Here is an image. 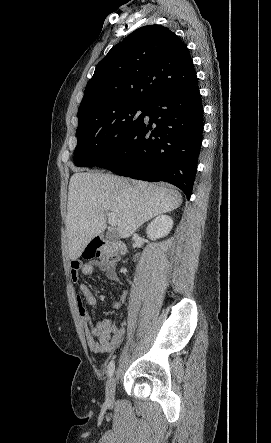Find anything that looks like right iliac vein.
Instances as JSON below:
<instances>
[{
    "instance_id": "obj_1",
    "label": "right iliac vein",
    "mask_w": 271,
    "mask_h": 443,
    "mask_svg": "<svg viewBox=\"0 0 271 443\" xmlns=\"http://www.w3.org/2000/svg\"><path fill=\"white\" fill-rule=\"evenodd\" d=\"M115 388H116V383H115V378L111 377L106 384V397H105V402L106 405L108 407H112L114 404V400H115Z\"/></svg>"
}]
</instances>
